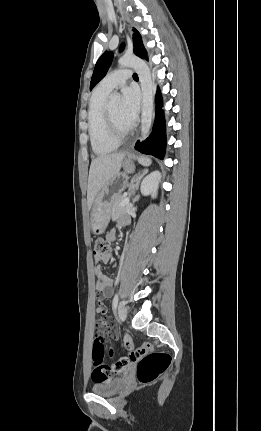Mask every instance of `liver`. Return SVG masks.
Instances as JSON below:
<instances>
[{
  "mask_svg": "<svg viewBox=\"0 0 261 431\" xmlns=\"http://www.w3.org/2000/svg\"><path fill=\"white\" fill-rule=\"evenodd\" d=\"M125 153L98 156L92 160L89 170L87 203L91 209L101 189L115 178L122 167Z\"/></svg>",
  "mask_w": 261,
  "mask_h": 431,
  "instance_id": "obj_1",
  "label": "liver"
}]
</instances>
